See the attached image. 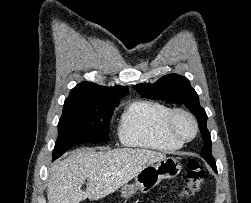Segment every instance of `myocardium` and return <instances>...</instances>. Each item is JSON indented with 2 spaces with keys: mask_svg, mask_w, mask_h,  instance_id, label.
Listing matches in <instances>:
<instances>
[{
  "mask_svg": "<svg viewBox=\"0 0 251 203\" xmlns=\"http://www.w3.org/2000/svg\"><path fill=\"white\" fill-rule=\"evenodd\" d=\"M179 115L186 116L192 122L194 130H193V134L190 137H183L177 132L175 128V121H176L177 116ZM165 131L170 137L181 142L182 144L188 143L192 141L198 133V122L195 116L190 111L183 108H174L170 111V113L168 114L166 118Z\"/></svg>",
  "mask_w": 251,
  "mask_h": 203,
  "instance_id": "1",
  "label": "myocardium"
}]
</instances>
